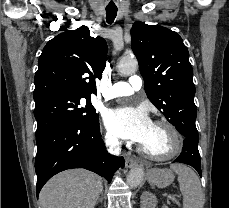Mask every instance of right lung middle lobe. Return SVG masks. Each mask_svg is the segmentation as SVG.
I'll use <instances>...</instances> for the list:
<instances>
[{
  "label": "right lung middle lobe",
  "mask_w": 229,
  "mask_h": 208,
  "mask_svg": "<svg viewBox=\"0 0 229 208\" xmlns=\"http://www.w3.org/2000/svg\"><path fill=\"white\" fill-rule=\"evenodd\" d=\"M81 98H86L85 107H80ZM34 115L38 126L36 136L61 121H76L88 126L99 123L98 114L91 105L89 97L57 94L35 101Z\"/></svg>",
  "instance_id": "right-lung-middle-lobe-1"
}]
</instances>
